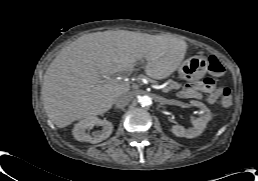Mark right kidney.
Returning a JSON list of instances; mask_svg holds the SVG:
<instances>
[{
    "label": "right kidney",
    "mask_w": 258,
    "mask_h": 181,
    "mask_svg": "<svg viewBox=\"0 0 258 181\" xmlns=\"http://www.w3.org/2000/svg\"><path fill=\"white\" fill-rule=\"evenodd\" d=\"M94 126H102L103 129L93 132L91 135L88 134L87 130L92 129ZM112 131L113 125L111 122L90 116L76 123L72 132L76 140L95 144L107 139L112 134Z\"/></svg>",
    "instance_id": "obj_1"
}]
</instances>
